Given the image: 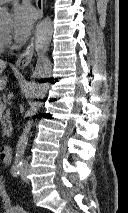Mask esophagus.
I'll list each match as a JSON object with an SVG mask.
<instances>
[{
  "label": "esophagus",
  "mask_w": 128,
  "mask_h": 213,
  "mask_svg": "<svg viewBox=\"0 0 128 213\" xmlns=\"http://www.w3.org/2000/svg\"><path fill=\"white\" fill-rule=\"evenodd\" d=\"M43 1L44 0H36V6L38 9L39 20H41L43 16ZM34 54V38L31 39L29 45L24 50V52L18 57L16 60V67L20 69L26 68L32 60Z\"/></svg>",
  "instance_id": "1"
}]
</instances>
